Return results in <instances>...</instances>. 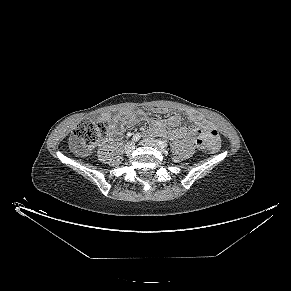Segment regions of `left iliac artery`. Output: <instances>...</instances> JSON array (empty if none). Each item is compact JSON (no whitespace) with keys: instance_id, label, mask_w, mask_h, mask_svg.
I'll use <instances>...</instances> for the list:
<instances>
[{"instance_id":"obj_1","label":"left iliac artery","mask_w":291,"mask_h":291,"mask_svg":"<svg viewBox=\"0 0 291 291\" xmlns=\"http://www.w3.org/2000/svg\"><path fill=\"white\" fill-rule=\"evenodd\" d=\"M157 143L163 147V148H166L168 146V144L165 142V141H162V140H157Z\"/></svg>"}]
</instances>
